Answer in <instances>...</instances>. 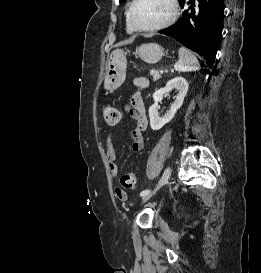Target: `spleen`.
I'll return each mask as SVG.
<instances>
[{
    "instance_id": "3e777b00",
    "label": "spleen",
    "mask_w": 261,
    "mask_h": 273,
    "mask_svg": "<svg viewBox=\"0 0 261 273\" xmlns=\"http://www.w3.org/2000/svg\"><path fill=\"white\" fill-rule=\"evenodd\" d=\"M178 61L175 63L174 68L178 72H192L200 69V64L188 49L180 47L178 51Z\"/></svg>"
}]
</instances>
